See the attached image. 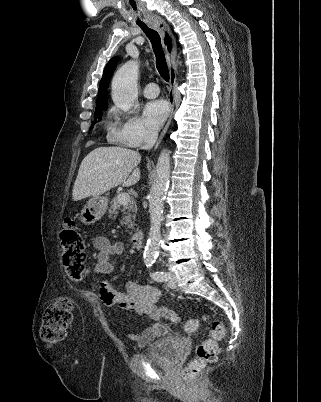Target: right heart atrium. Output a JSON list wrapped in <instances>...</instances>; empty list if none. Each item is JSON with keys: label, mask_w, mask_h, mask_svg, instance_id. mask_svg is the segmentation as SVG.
<instances>
[{"label": "right heart atrium", "mask_w": 321, "mask_h": 402, "mask_svg": "<svg viewBox=\"0 0 321 402\" xmlns=\"http://www.w3.org/2000/svg\"><path fill=\"white\" fill-rule=\"evenodd\" d=\"M110 115L115 120L110 133L111 140L133 148L154 140L155 133L138 116L124 113L117 107L111 108Z\"/></svg>", "instance_id": "right-heart-atrium-1"}]
</instances>
